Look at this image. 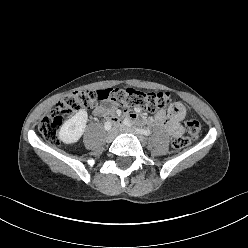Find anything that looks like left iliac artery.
<instances>
[{
	"mask_svg": "<svg viewBox=\"0 0 248 248\" xmlns=\"http://www.w3.org/2000/svg\"><path fill=\"white\" fill-rule=\"evenodd\" d=\"M124 125L128 126V127H132L136 132L145 135V136H149L152 132L150 130H146V129H142V128H138L133 126V124L130 122L129 119H125L124 120Z\"/></svg>",
	"mask_w": 248,
	"mask_h": 248,
	"instance_id": "44dca946",
	"label": "left iliac artery"
}]
</instances>
